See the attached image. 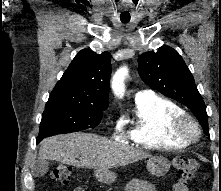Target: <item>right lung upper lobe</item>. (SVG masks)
<instances>
[{
    "instance_id": "obj_1",
    "label": "right lung upper lobe",
    "mask_w": 221,
    "mask_h": 191,
    "mask_svg": "<svg viewBox=\"0 0 221 191\" xmlns=\"http://www.w3.org/2000/svg\"><path fill=\"white\" fill-rule=\"evenodd\" d=\"M110 53L81 50L50 94L46 106L77 104L107 109Z\"/></svg>"
}]
</instances>
